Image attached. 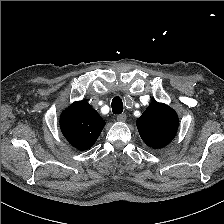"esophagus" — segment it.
Here are the masks:
<instances>
[{
    "instance_id": "1",
    "label": "esophagus",
    "mask_w": 224,
    "mask_h": 224,
    "mask_svg": "<svg viewBox=\"0 0 224 224\" xmlns=\"http://www.w3.org/2000/svg\"><path fill=\"white\" fill-rule=\"evenodd\" d=\"M126 119H127L126 114H120L117 116V121H119V122H125Z\"/></svg>"
}]
</instances>
